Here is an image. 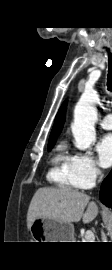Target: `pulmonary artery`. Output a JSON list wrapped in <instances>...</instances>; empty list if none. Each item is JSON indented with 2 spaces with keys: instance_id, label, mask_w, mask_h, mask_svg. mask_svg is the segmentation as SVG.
I'll return each instance as SVG.
<instances>
[{
  "instance_id": "pulmonary-artery-1",
  "label": "pulmonary artery",
  "mask_w": 112,
  "mask_h": 270,
  "mask_svg": "<svg viewBox=\"0 0 112 270\" xmlns=\"http://www.w3.org/2000/svg\"><path fill=\"white\" fill-rule=\"evenodd\" d=\"M100 126L105 130H112V114L105 116Z\"/></svg>"
}]
</instances>
